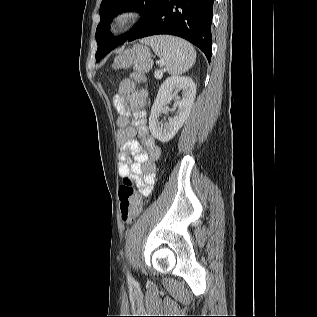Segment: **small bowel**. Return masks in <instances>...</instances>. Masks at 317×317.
Listing matches in <instances>:
<instances>
[{
	"label": "small bowel",
	"instance_id": "1",
	"mask_svg": "<svg viewBox=\"0 0 317 317\" xmlns=\"http://www.w3.org/2000/svg\"><path fill=\"white\" fill-rule=\"evenodd\" d=\"M146 98L147 91L138 88L131 79L123 80L113 97V104L118 112V171L121 177L134 180L144 197L152 193L155 163L161 155V149L150 134L146 123ZM137 136L146 150L136 140Z\"/></svg>",
	"mask_w": 317,
	"mask_h": 317
}]
</instances>
